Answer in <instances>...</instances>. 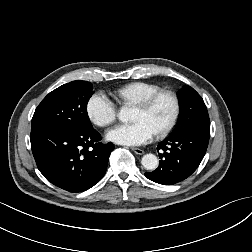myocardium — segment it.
Segmentation results:
<instances>
[{"instance_id":"f54148a6","label":"myocardium","mask_w":252,"mask_h":252,"mask_svg":"<svg viewBox=\"0 0 252 252\" xmlns=\"http://www.w3.org/2000/svg\"><path fill=\"white\" fill-rule=\"evenodd\" d=\"M163 96H167L170 98V100L172 101L173 110L168 123L163 128L155 132V135L158 137L168 135L173 130L178 121L180 115V101L178 96L173 91L170 90H159L153 93L152 95L148 96L143 101L136 104L137 108L144 111H148L153 107V105L157 102V100Z\"/></svg>"}]
</instances>
